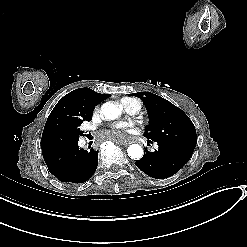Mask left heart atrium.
Returning a JSON list of instances; mask_svg holds the SVG:
<instances>
[{
  "label": "left heart atrium",
  "mask_w": 247,
  "mask_h": 247,
  "mask_svg": "<svg viewBox=\"0 0 247 247\" xmlns=\"http://www.w3.org/2000/svg\"><path fill=\"white\" fill-rule=\"evenodd\" d=\"M104 144H113L117 146L126 145L130 147L127 134L117 125L114 124L110 128L102 129ZM135 129V135H136Z\"/></svg>",
  "instance_id": "left-heart-atrium-1"
}]
</instances>
